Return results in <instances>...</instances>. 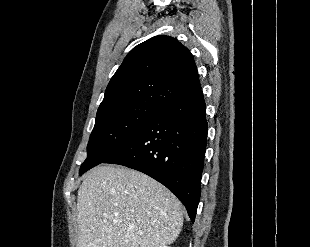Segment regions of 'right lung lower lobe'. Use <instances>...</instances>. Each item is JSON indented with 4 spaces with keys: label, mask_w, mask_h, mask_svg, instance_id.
<instances>
[{
    "label": "right lung lower lobe",
    "mask_w": 310,
    "mask_h": 247,
    "mask_svg": "<svg viewBox=\"0 0 310 247\" xmlns=\"http://www.w3.org/2000/svg\"><path fill=\"white\" fill-rule=\"evenodd\" d=\"M207 132L206 106L199 89L160 109L103 163L123 165L156 179L178 197L194 222Z\"/></svg>",
    "instance_id": "obj_1"
}]
</instances>
